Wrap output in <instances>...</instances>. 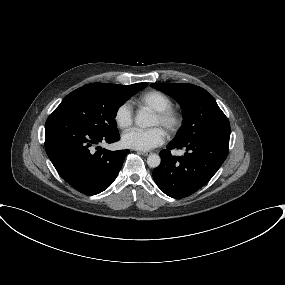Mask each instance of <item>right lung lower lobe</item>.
<instances>
[{
    "label": "right lung lower lobe",
    "mask_w": 285,
    "mask_h": 285,
    "mask_svg": "<svg viewBox=\"0 0 285 285\" xmlns=\"http://www.w3.org/2000/svg\"><path fill=\"white\" fill-rule=\"evenodd\" d=\"M119 132L99 134L69 118L50 115L45 124V149L58 174L73 188L95 195L117 177L129 150L109 151L93 147L113 143Z\"/></svg>",
    "instance_id": "obj_1"
}]
</instances>
